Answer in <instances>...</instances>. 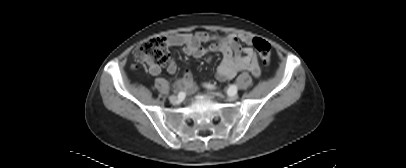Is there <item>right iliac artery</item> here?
<instances>
[{
	"label": "right iliac artery",
	"mask_w": 406,
	"mask_h": 168,
	"mask_svg": "<svg viewBox=\"0 0 406 168\" xmlns=\"http://www.w3.org/2000/svg\"><path fill=\"white\" fill-rule=\"evenodd\" d=\"M183 94H184L183 92H180L178 96L181 97Z\"/></svg>",
	"instance_id": "right-iliac-artery-1"
}]
</instances>
